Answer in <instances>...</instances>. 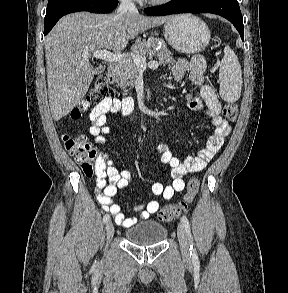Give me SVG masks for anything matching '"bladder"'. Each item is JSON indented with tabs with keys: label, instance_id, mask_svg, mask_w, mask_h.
I'll list each match as a JSON object with an SVG mask.
<instances>
[{
	"label": "bladder",
	"instance_id": "31cf9c89",
	"mask_svg": "<svg viewBox=\"0 0 288 293\" xmlns=\"http://www.w3.org/2000/svg\"><path fill=\"white\" fill-rule=\"evenodd\" d=\"M167 236L165 226L154 220H147L129 227L125 238L132 244L148 246L161 243Z\"/></svg>",
	"mask_w": 288,
	"mask_h": 293
}]
</instances>
